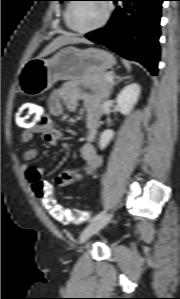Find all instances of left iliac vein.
<instances>
[{
    "label": "left iliac vein",
    "mask_w": 180,
    "mask_h": 299,
    "mask_svg": "<svg viewBox=\"0 0 180 299\" xmlns=\"http://www.w3.org/2000/svg\"><path fill=\"white\" fill-rule=\"evenodd\" d=\"M112 214H105L101 218L91 222L81 233L80 235V243L85 242L92 235L99 232L102 228H104L111 220Z\"/></svg>",
    "instance_id": "1"
}]
</instances>
